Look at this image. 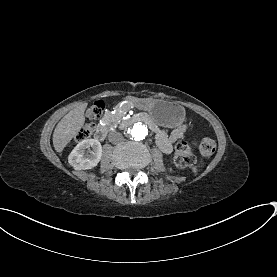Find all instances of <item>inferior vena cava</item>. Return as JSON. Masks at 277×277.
I'll return each mask as SVG.
<instances>
[{
    "mask_svg": "<svg viewBox=\"0 0 277 277\" xmlns=\"http://www.w3.org/2000/svg\"><path fill=\"white\" fill-rule=\"evenodd\" d=\"M108 138L111 142L117 143L118 141L122 140V135L118 132H111L109 134Z\"/></svg>",
    "mask_w": 277,
    "mask_h": 277,
    "instance_id": "inferior-vena-cava-1",
    "label": "inferior vena cava"
}]
</instances>
